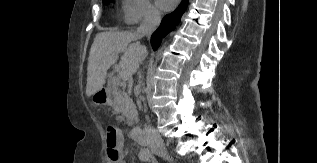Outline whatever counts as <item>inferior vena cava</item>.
<instances>
[{"label":"inferior vena cava","mask_w":317,"mask_h":163,"mask_svg":"<svg viewBox=\"0 0 317 163\" xmlns=\"http://www.w3.org/2000/svg\"><path fill=\"white\" fill-rule=\"evenodd\" d=\"M161 22V14L155 10H149L137 29V35L139 37L146 36L150 38L152 33L158 28ZM143 135L145 141L151 151L161 157L166 155V149L163 140L158 131L150 125H145L143 129Z\"/></svg>","instance_id":"obj_1"}]
</instances>
